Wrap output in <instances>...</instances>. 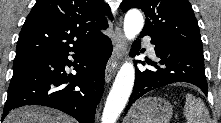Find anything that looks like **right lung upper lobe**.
<instances>
[{"label":"right lung upper lobe","mask_w":221,"mask_h":123,"mask_svg":"<svg viewBox=\"0 0 221 123\" xmlns=\"http://www.w3.org/2000/svg\"><path fill=\"white\" fill-rule=\"evenodd\" d=\"M112 19L103 0H37L19 34L16 56L61 53L103 36Z\"/></svg>","instance_id":"obj_1"}]
</instances>
